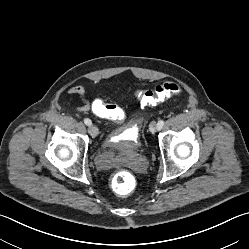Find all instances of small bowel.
Returning <instances> with one entry per match:
<instances>
[{"instance_id":"obj_1","label":"small bowel","mask_w":249,"mask_h":249,"mask_svg":"<svg viewBox=\"0 0 249 249\" xmlns=\"http://www.w3.org/2000/svg\"><path fill=\"white\" fill-rule=\"evenodd\" d=\"M68 93L77 95L80 98L81 104L76 107V111L79 113H87L91 111L97 117L117 121H120L124 118V113L119 107L113 104H108L100 98L89 100L86 95L85 88L81 85L69 87Z\"/></svg>"}]
</instances>
